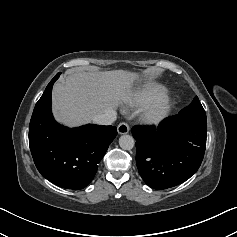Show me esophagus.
Wrapping results in <instances>:
<instances>
[{
  "label": "esophagus",
  "instance_id": "esophagus-1",
  "mask_svg": "<svg viewBox=\"0 0 237 237\" xmlns=\"http://www.w3.org/2000/svg\"><path fill=\"white\" fill-rule=\"evenodd\" d=\"M129 129H130L129 125L126 122H122L118 125L117 132L120 135L127 134L129 132Z\"/></svg>",
  "mask_w": 237,
  "mask_h": 237
}]
</instances>
